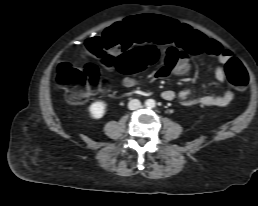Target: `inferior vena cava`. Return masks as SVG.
<instances>
[{"mask_svg":"<svg viewBox=\"0 0 258 206\" xmlns=\"http://www.w3.org/2000/svg\"><path fill=\"white\" fill-rule=\"evenodd\" d=\"M141 107V102L138 99H132L128 103V108L130 110H137Z\"/></svg>","mask_w":258,"mask_h":206,"instance_id":"inferior-vena-cava-1","label":"inferior vena cava"}]
</instances>
